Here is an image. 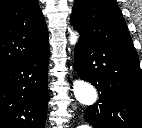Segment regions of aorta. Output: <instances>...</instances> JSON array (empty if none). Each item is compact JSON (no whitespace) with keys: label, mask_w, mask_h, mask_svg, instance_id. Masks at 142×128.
Instances as JSON below:
<instances>
[{"label":"aorta","mask_w":142,"mask_h":128,"mask_svg":"<svg viewBox=\"0 0 142 128\" xmlns=\"http://www.w3.org/2000/svg\"><path fill=\"white\" fill-rule=\"evenodd\" d=\"M70 44L75 45L78 41V33L72 31L69 38ZM73 92L77 101L83 105L91 106L97 101L96 89L90 84L82 80L73 82ZM87 128V127H83Z\"/></svg>","instance_id":"obj_1"}]
</instances>
